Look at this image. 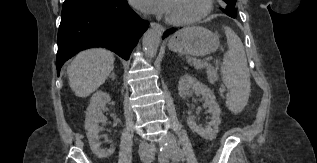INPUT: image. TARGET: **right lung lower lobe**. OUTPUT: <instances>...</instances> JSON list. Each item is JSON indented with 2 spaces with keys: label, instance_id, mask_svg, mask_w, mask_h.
Masks as SVG:
<instances>
[{
  "label": "right lung lower lobe",
  "instance_id": "right-lung-lower-lobe-1",
  "mask_svg": "<svg viewBox=\"0 0 317 163\" xmlns=\"http://www.w3.org/2000/svg\"><path fill=\"white\" fill-rule=\"evenodd\" d=\"M148 25L126 0L63 15L57 39V74L69 58L91 47H105L128 60Z\"/></svg>",
  "mask_w": 317,
  "mask_h": 163
}]
</instances>
